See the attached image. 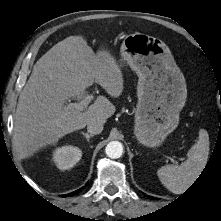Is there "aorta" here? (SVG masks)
I'll return each mask as SVG.
<instances>
[{
  "instance_id": "obj_1",
  "label": "aorta",
  "mask_w": 221,
  "mask_h": 221,
  "mask_svg": "<svg viewBox=\"0 0 221 221\" xmlns=\"http://www.w3.org/2000/svg\"><path fill=\"white\" fill-rule=\"evenodd\" d=\"M105 152L109 158H120L123 154V145L119 141H111L107 144Z\"/></svg>"
}]
</instances>
